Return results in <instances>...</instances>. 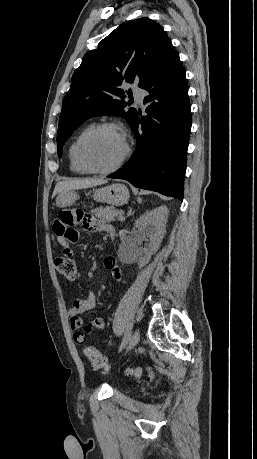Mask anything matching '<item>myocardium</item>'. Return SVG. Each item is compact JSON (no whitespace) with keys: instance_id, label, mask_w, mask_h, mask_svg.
I'll use <instances>...</instances> for the list:
<instances>
[{"instance_id":"f54148a6","label":"myocardium","mask_w":257,"mask_h":459,"mask_svg":"<svg viewBox=\"0 0 257 459\" xmlns=\"http://www.w3.org/2000/svg\"><path fill=\"white\" fill-rule=\"evenodd\" d=\"M103 129H112V130H116L118 131L119 133H121V135L123 136L124 140H125V150L122 154V156L119 158V160L112 166L110 167H107V168H98V167H94V166H91L89 165L82 157V147H83V144L93 135L95 134L96 132L100 131V130H103ZM130 152H131V149H130V146H129V143L126 139V136L123 132V129L121 126H119L118 124L116 123H113V122H102V123H98L96 125H93L91 126L90 128H88L80 137L79 139L77 140L76 144H75V149H74V155H75V159L78 163V165L83 169L85 170L86 172L88 173H95V174H109V173H112L116 170H118L123 164L124 162L127 160V158L129 157L130 155Z\"/></svg>"}]
</instances>
